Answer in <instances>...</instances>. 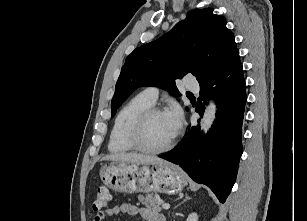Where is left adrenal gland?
I'll return each instance as SVG.
<instances>
[{"label":"left adrenal gland","mask_w":307,"mask_h":221,"mask_svg":"<svg viewBox=\"0 0 307 221\" xmlns=\"http://www.w3.org/2000/svg\"><path fill=\"white\" fill-rule=\"evenodd\" d=\"M191 198L188 196V195H186L185 196V199L181 202V203H179L177 206H175V208L176 207H178V206H180L181 204H183L184 202H186L187 200H190Z\"/></svg>","instance_id":"left-adrenal-gland-1"}]
</instances>
